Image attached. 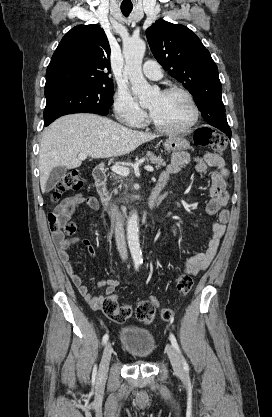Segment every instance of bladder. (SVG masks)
<instances>
[{"label":"bladder","instance_id":"obj_1","mask_svg":"<svg viewBox=\"0 0 272 417\" xmlns=\"http://www.w3.org/2000/svg\"><path fill=\"white\" fill-rule=\"evenodd\" d=\"M121 343L124 350L137 360H146L156 349L153 335L144 329L124 327L121 331Z\"/></svg>","mask_w":272,"mask_h":417}]
</instances>
